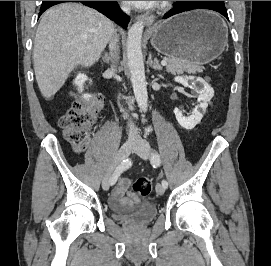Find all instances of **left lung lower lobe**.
<instances>
[{"mask_svg": "<svg viewBox=\"0 0 271 266\" xmlns=\"http://www.w3.org/2000/svg\"><path fill=\"white\" fill-rule=\"evenodd\" d=\"M193 9H208V8H203L199 5H194V4H189V3H184V2H177L173 4V8L168 11L165 15H164V19L169 18L175 14L181 13V12H185V11H190ZM213 10V9H210ZM216 11V10H214ZM219 12L220 14H222L224 17H226L228 19V14L227 11H216Z\"/></svg>", "mask_w": 271, "mask_h": 266, "instance_id": "left-lung-lower-lobe-1", "label": "left lung lower lobe"}]
</instances>
